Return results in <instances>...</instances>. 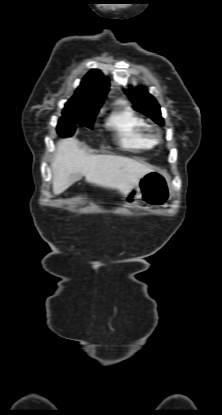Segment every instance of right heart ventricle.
Returning <instances> with one entry per match:
<instances>
[{"label": "right heart ventricle", "mask_w": 222, "mask_h": 415, "mask_svg": "<svg viewBox=\"0 0 222 415\" xmlns=\"http://www.w3.org/2000/svg\"><path fill=\"white\" fill-rule=\"evenodd\" d=\"M106 124L115 131L124 147L146 150L155 145L149 135L148 124L130 107L113 113Z\"/></svg>", "instance_id": "right-heart-ventricle-1"}]
</instances>
